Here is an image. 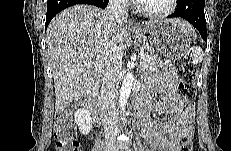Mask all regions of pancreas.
<instances>
[{
    "label": "pancreas",
    "mask_w": 231,
    "mask_h": 151,
    "mask_svg": "<svg viewBox=\"0 0 231 151\" xmlns=\"http://www.w3.org/2000/svg\"><path fill=\"white\" fill-rule=\"evenodd\" d=\"M141 71L148 73L151 71H157L168 66V62L161 60L158 57H154L150 54H145V57L140 62Z\"/></svg>",
    "instance_id": "pancreas-1"
}]
</instances>
